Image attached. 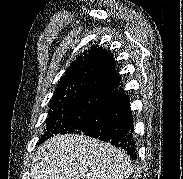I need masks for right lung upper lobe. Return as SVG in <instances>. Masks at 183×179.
I'll return each instance as SVG.
<instances>
[{
  "instance_id": "right-lung-upper-lobe-1",
  "label": "right lung upper lobe",
  "mask_w": 183,
  "mask_h": 179,
  "mask_svg": "<svg viewBox=\"0 0 183 179\" xmlns=\"http://www.w3.org/2000/svg\"><path fill=\"white\" fill-rule=\"evenodd\" d=\"M113 55L92 46L66 70L52 97L51 106L87 96H106L119 85Z\"/></svg>"
}]
</instances>
